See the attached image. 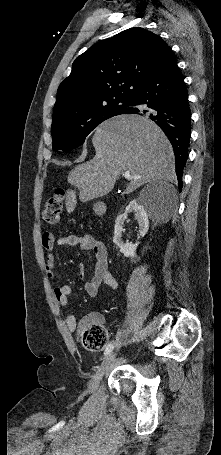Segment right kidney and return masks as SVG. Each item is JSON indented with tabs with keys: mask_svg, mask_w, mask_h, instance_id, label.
I'll return each instance as SVG.
<instances>
[{
	"mask_svg": "<svg viewBox=\"0 0 221 455\" xmlns=\"http://www.w3.org/2000/svg\"><path fill=\"white\" fill-rule=\"evenodd\" d=\"M134 213L135 218L139 224V235L144 237L149 229V220L148 215L144 207L137 201L132 200L129 202L128 206L125 209V212L119 215L115 221L114 227V237L113 242L119 247L120 252L124 254L125 257H130L131 259L136 258V248L139 243H123L122 230L124 221L127 219L129 213Z\"/></svg>",
	"mask_w": 221,
	"mask_h": 455,
	"instance_id": "obj_1",
	"label": "right kidney"
}]
</instances>
